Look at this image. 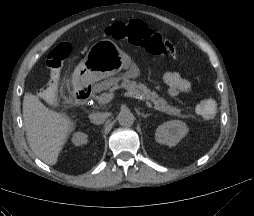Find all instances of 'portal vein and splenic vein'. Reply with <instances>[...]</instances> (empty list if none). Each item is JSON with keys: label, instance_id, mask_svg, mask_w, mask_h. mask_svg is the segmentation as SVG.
<instances>
[{"label": "portal vein and splenic vein", "instance_id": "obj_1", "mask_svg": "<svg viewBox=\"0 0 254 216\" xmlns=\"http://www.w3.org/2000/svg\"><path fill=\"white\" fill-rule=\"evenodd\" d=\"M115 94L114 93H104L102 96L99 97V104H107L109 103L113 98H114ZM136 98L142 100L145 102V104L147 105V107L149 108H153L152 104L148 101H146L143 97L141 96H136Z\"/></svg>", "mask_w": 254, "mask_h": 216}]
</instances>
